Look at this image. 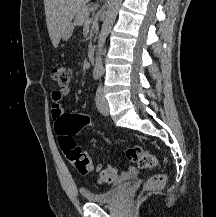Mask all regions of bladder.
Masks as SVG:
<instances>
[{
    "instance_id": "31cf9c89",
    "label": "bladder",
    "mask_w": 216,
    "mask_h": 217,
    "mask_svg": "<svg viewBox=\"0 0 216 217\" xmlns=\"http://www.w3.org/2000/svg\"><path fill=\"white\" fill-rule=\"evenodd\" d=\"M128 188V184H120L106 191L95 192L83 190L82 197L89 203L110 204L119 201Z\"/></svg>"
}]
</instances>
